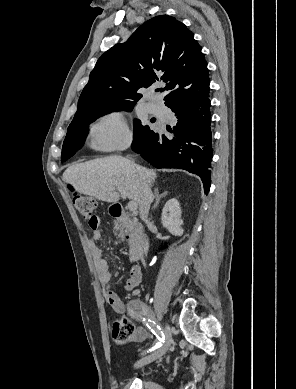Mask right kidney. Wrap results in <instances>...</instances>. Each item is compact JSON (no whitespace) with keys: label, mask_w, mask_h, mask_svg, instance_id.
<instances>
[{"label":"right kidney","mask_w":296,"mask_h":389,"mask_svg":"<svg viewBox=\"0 0 296 389\" xmlns=\"http://www.w3.org/2000/svg\"><path fill=\"white\" fill-rule=\"evenodd\" d=\"M162 225L173 235L182 236L184 230L181 225V208L177 199L168 200L162 210L161 216Z\"/></svg>","instance_id":"1"}]
</instances>
